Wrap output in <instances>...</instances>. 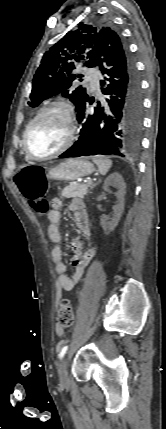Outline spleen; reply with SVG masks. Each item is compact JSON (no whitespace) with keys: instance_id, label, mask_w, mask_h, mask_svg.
<instances>
[{"instance_id":"obj_1","label":"spleen","mask_w":166,"mask_h":429,"mask_svg":"<svg viewBox=\"0 0 166 429\" xmlns=\"http://www.w3.org/2000/svg\"><path fill=\"white\" fill-rule=\"evenodd\" d=\"M93 162L98 166V171L102 175H106L112 166V161L104 157H94Z\"/></svg>"}]
</instances>
